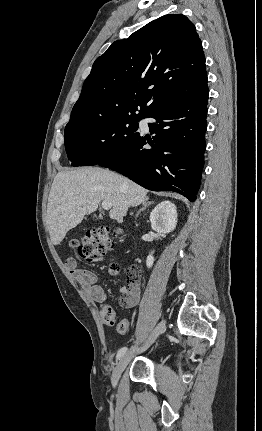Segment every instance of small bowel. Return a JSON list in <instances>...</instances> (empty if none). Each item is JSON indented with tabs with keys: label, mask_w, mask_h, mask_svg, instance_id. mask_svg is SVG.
<instances>
[{
	"label": "small bowel",
	"mask_w": 262,
	"mask_h": 431,
	"mask_svg": "<svg viewBox=\"0 0 262 431\" xmlns=\"http://www.w3.org/2000/svg\"><path fill=\"white\" fill-rule=\"evenodd\" d=\"M66 267L73 274L76 281L86 291L88 296L100 303L101 314H106L111 310V316L116 318V313L111 305L107 303V296L104 289L98 284L96 275L88 269L79 268L77 261L67 258ZM141 296L139 279L133 278L120 288V303L125 307H134L138 304ZM118 331V330H117ZM118 333H120L118 331Z\"/></svg>",
	"instance_id": "1"
}]
</instances>
